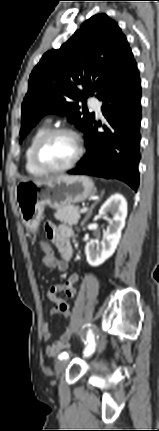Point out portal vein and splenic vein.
<instances>
[{"mask_svg":"<svg viewBox=\"0 0 159 431\" xmlns=\"http://www.w3.org/2000/svg\"><path fill=\"white\" fill-rule=\"evenodd\" d=\"M87 210H88L87 208H82V209L80 210V213H85Z\"/></svg>","mask_w":159,"mask_h":431,"instance_id":"1","label":"portal vein and splenic vein"}]
</instances>
